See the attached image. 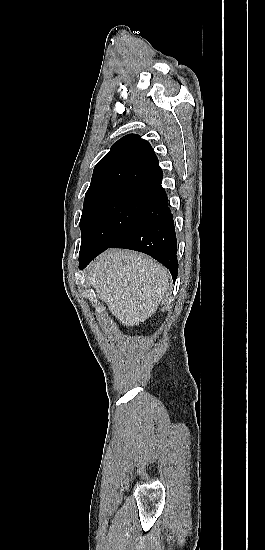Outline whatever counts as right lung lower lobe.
I'll use <instances>...</instances> for the list:
<instances>
[{"label":"right lung lower lobe","instance_id":"right-lung-lower-lobe-1","mask_svg":"<svg viewBox=\"0 0 265 550\" xmlns=\"http://www.w3.org/2000/svg\"><path fill=\"white\" fill-rule=\"evenodd\" d=\"M108 248H127L146 253L167 267L173 281L176 280L178 273L177 240L173 215L162 187H160L156 199L143 215ZM104 250L80 257L79 268H85Z\"/></svg>","mask_w":265,"mask_h":550}]
</instances>
